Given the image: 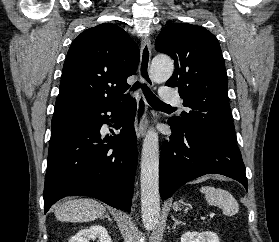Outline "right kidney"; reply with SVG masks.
<instances>
[{"label":"right kidney","mask_w":279,"mask_h":242,"mask_svg":"<svg viewBox=\"0 0 279 242\" xmlns=\"http://www.w3.org/2000/svg\"><path fill=\"white\" fill-rule=\"evenodd\" d=\"M98 239V242H112L105 227L99 224L81 229L69 242H89Z\"/></svg>","instance_id":"ca27d5eb"}]
</instances>
